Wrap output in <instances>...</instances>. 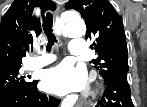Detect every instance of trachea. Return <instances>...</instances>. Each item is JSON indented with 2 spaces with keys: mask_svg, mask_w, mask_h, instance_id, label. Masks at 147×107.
<instances>
[{
  "mask_svg": "<svg viewBox=\"0 0 147 107\" xmlns=\"http://www.w3.org/2000/svg\"><path fill=\"white\" fill-rule=\"evenodd\" d=\"M43 30L48 38V45L46 48L47 50H50L54 43L57 42L53 33V16L50 12H48L46 17L43 19Z\"/></svg>",
  "mask_w": 147,
  "mask_h": 107,
  "instance_id": "obj_1",
  "label": "trachea"
}]
</instances>
